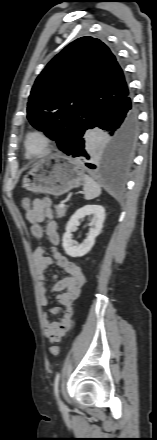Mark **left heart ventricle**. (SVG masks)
<instances>
[{"label":"left heart ventricle","instance_id":"b2bd125f","mask_svg":"<svg viewBox=\"0 0 157 440\" xmlns=\"http://www.w3.org/2000/svg\"><path fill=\"white\" fill-rule=\"evenodd\" d=\"M28 149L31 154L42 153L45 149V143L39 136H31L28 140Z\"/></svg>","mask_w":157,"mask_h":440}]
</instances>
